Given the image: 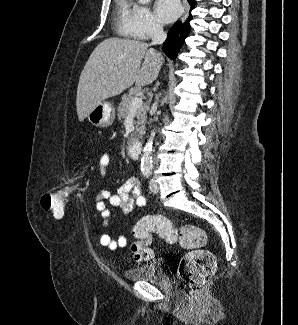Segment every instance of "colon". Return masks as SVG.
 Segmentation results:
<instances>
[{
	"label": "colon",
	"mask_w": 298,
	"mask_h": 325,
	"mask_svg": "<svg viewBox=\"0 0 298 325\" xmlns=\"http://www.w3.org/2000/svg\"><path fill=\"white\" fill-rule=\"evenodd\" d=\"M79 188L80 184L75 183L46 192L41 198L42 208L56 218L63 217L68 197ZM132 233L135 241L131 245V253L136 261H147L153 257L152 233H157L169 244H179L188 250L178 269L181 288L188 296L197 295L215 273V257L203 249L207 240L206 234L195 225H185L177 229L164 216L148 215L137 221Z\"/></svg>",
	"instance_id": "obj_1"
}]
</instances>
